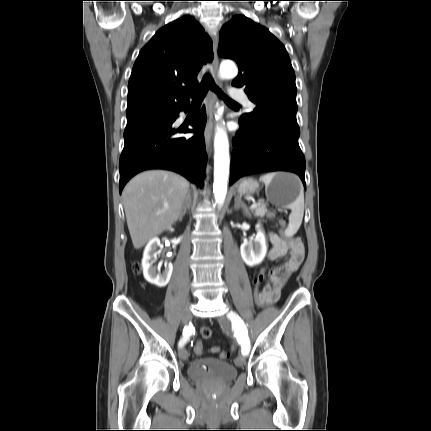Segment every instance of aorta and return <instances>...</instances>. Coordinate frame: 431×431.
Wrapping results in <instances>:
<instances>
[{
  "label": "aorta",
  "instance_id": "aorta-1",
  "mask_svg": "<svg viewBox=\"0 0 431 431\" xmlns=\"http://www.w3.org/2000/svg\"><path fill=\"white\" fill-rule=\"evenodd\" d=\"M238 70L233 62L224 61L220 65L219 75L221 78H233ZM220 116L216 118L219 119ZM214 183L213 192L215 201L219 207L224 204L227 194V182L229 176L230 157L229 143L225 130L217 127L214 139Z\"/></svg>",
  "mask_w": 431,
  "mask_h": 431
}]
</instances>
